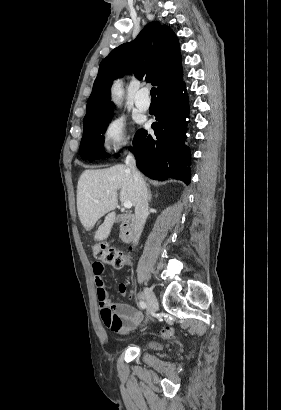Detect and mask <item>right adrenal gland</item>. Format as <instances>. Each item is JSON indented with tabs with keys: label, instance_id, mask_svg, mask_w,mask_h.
Instances as JSON below:
<instances>
[{
	"label": "right adrenal gland",
	"instance_id": "obj_1",
	"mask_svg": "<svg viewBox=\"0 0 281 410\" xmlns=\"http://www.w3.org/2000/svg\"><path fill=\"white\" fill-rule=\"evenodd\" d=\"M148 199H149V201H151V199H152V195H151L150 190L148 191Z\"/></svg>",
	"mask_w": 281,
	"mask_h": 410
}]
</instances>
